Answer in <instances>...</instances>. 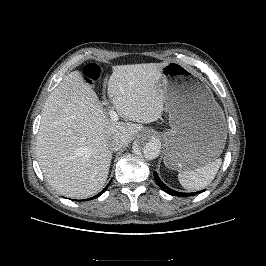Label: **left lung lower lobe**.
Here are the masks:
<instances>
[{
  "instance_id": "obj_1",
  "label": "left lung lower lobe",
  "mask_w": 266,
  "mask_h": 266,
  "mask_svg": "<svg viewBox=\"0 0 266 266\" xmlns=\"http://www.w3.org/2000/svg\"><path fill=\"white\" fill-rule=\"evenodd\" d=\"M154 177H155V180L157 182V184L159 185V187L165 191L166 193L170 194V195H173V196H178V197H188V196H193L195 194H199L203 191H199V192H194V193H181V192H177V191H174L172 189H170L169 187H167L162 181L161 179L159 178L158 174L154 171Z\"/></svg>"
}]
</instances>
